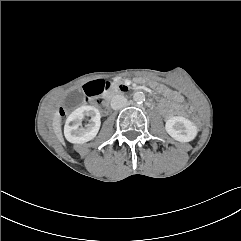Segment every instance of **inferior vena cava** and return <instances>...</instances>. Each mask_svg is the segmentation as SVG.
I'll use <instances>...</instances> for the list:
<instances>
[{"label": "inferior vena cava", "instance_id": "obj_1", "mask_svg": "<svg viewBox=\"0 0 241 241\" xmlns=\"http://www.w3.org/2000/svg\"><path fill=\"white\" fill-rule=\"evenodd\" d=\"M127 105V99L123 95H115L111 99V107L114 110L121 109Z\"/></svg>", "mask_w": 241, "mask_h": 241}]
</instances>
